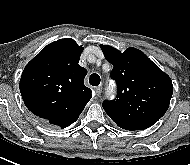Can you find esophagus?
Listing matches in <instances>:
<instances>
[{"label":"esophagus","mask_w":190,"mask_h":165,"mask_svg":"<svg viewBox=\"0 0 190 165\" xmlns=\"http://www.w3.org/2000/svg\"><path fill=\"white\" fill-rule=\"evenodd\" d=\"M94 92H95V95H96L97 97H99V96L101 95V93H102V87H101V86L96 87V88L94 89Z\"/></svg>","instance_id":"obj_1"}]
</instances>
